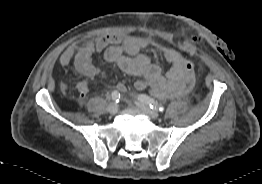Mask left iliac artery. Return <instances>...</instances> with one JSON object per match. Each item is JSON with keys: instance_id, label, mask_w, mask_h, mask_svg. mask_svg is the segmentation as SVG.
Wrapping results in <instances>:
<instances>
[{"instance_id": "left-iliac-artery-1", "label": "left iliac artery", "mask_w": 262, "mask_h": 184, "mask_svg": "<svg viewBox=\"0 0 262 184\" xmlns=\"http://www.w3.org/2000/svg\"><path fill=\"white\" fill-rule=\"evenodd\" d=\"M142 102L148 104L150 108L164 112V107L160 105L157 101L147 95H139L138 97Z\"/></svg>"}]
</instances>
